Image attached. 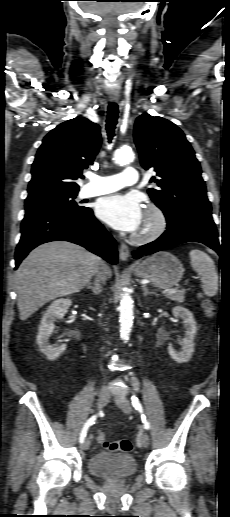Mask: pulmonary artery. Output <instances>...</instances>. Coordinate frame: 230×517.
<instances>
[{"instance_id": "obj_1", "label": "pulmonary artery", "mask_w": 230, "mask_h": 517, "mask_svg": "<svg viewBox=\"0 0 230 517\" xmlns=\"http://www.w3.org/2000/svg\"><path fill=\"white\" fill-rule=\"evenodd\" d=\"M138 182V174L135 168L127 167L121 174L103 176L90 175L89 182L84 188L86 197L99 196L117 191L126 186H132Z\"/></svg>"}]
</instances>
